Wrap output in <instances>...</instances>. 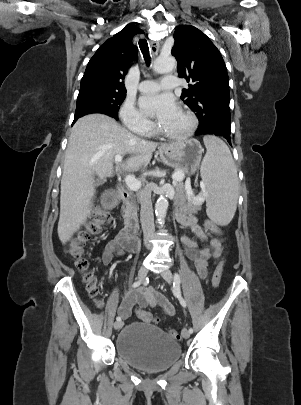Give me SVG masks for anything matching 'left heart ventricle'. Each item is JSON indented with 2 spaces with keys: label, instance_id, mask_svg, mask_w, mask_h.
<instances>
[{
  "label": "left heart ventricle",
  "instance_id": "left-heart-ventricle-1",
  "mask_svg": "<svg viewBox=\"0 0 301 405\" xmlns=\"http://www.w3.org/2000/svg\"><path fill=\"white\" fill-rule=\"evenodd\" d=\"M188 119L180 112L167 122L161 124V128L172 133H179L188 127Z\"/></svg>",
  "mask_w": 301,
  "mask_h": 405
}]
</instances>
